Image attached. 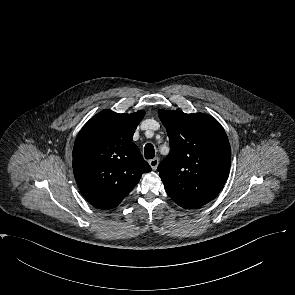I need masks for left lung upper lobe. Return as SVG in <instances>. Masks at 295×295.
Segmentation results:
<instances>
[{"label":"left lung upper lobe","instance_id":"left-lung-upper-lobe-1","mask_svg":"<svg viewBox=\"0 0 295 295\" xmlns=\"http://www.w3.org/2000/svg\"><path fill=\"white\" fill-rule=\"evenodd\" d=\"M171 152L158 166L167 194L181 207L198 208L222 190L231 148L220 123L203 113L159 110Z\"/></svg>","mask_w":295,"mask_h":295}]
</instances>
